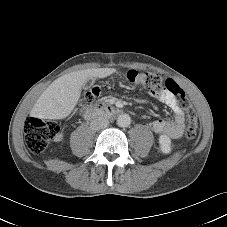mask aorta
<instances>
[{"label": "aorta", "instance_id": "1", "mask_svg": "<svg viewBox=\"0 0 227 227\" xmlns=\"http://www.w3.org/2000/svg\"><path fill=\"white\" fill-rule=\"evenodd\" d=\"M117 124L120 127H128L131 124V118L128 114H121L117 118Z\"/></svg>", "mask_w": 227, "mask_h": 227}]
</instances>
